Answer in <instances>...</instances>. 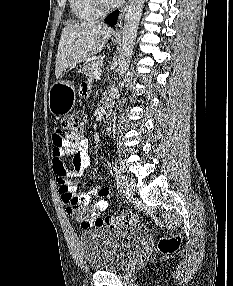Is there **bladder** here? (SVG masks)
<instances>
[{"mask_svg": "<svg viewBox=\"0 0 233 286\" xmlns=\"http://www.w3.org/2000/svg\"><path fill=\"white\" fill-rule=\"evenodd\" d=\"M146 237L141 226L119 229H90L80 236L88 267L93 271H115L126 267Z\"/></svg>", "mask_w": 233, "mask_h": 286, "instance_id": "bladder-1", "label": "bladder"}]
</instances>
